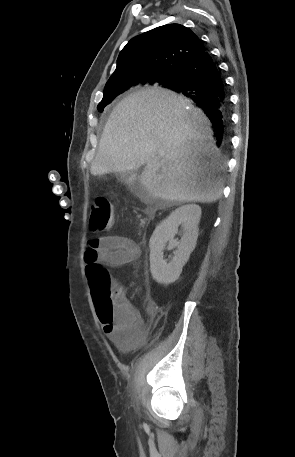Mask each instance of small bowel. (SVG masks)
Wrapping results in <instances>:
<instances>
[{
    "label": "small bowel",
    "mask_w": 295,
    "mask_h": 457,
    "mask_svg": "<svg viewBox=\"0 0 295 457\" xmlns=\"http://www.w3.org/2000/svg\"><path fill=\"white\" fill-rule=\"evenodd\" d=\"M139 256L137 244L130 238L109 235L92 238L85 251V262H98L109 267H120L135 261ZM122 298L118 315L110 322L100 320L103 332L110 338H129L143 323L142 316L124 298V290L119 287Z\"/></svg>",
    "instance_id": "obj_1"
}]
</instances>
